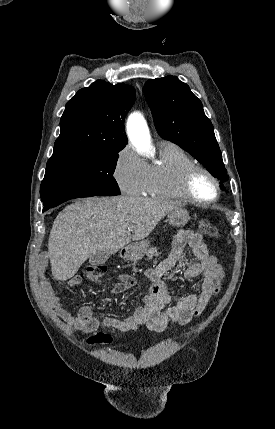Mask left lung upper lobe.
Returning a JSON list of instances; mask_svg holds the SVG:
<instances>
[{"label": "left lung upper lobe", "instance_id": "obj_1", "mask_svg": "<svg viewBox=\"0 0 275 429\" xmlns=\"http://www.w3.org/2000/svg\"><path fill=\"white\" fill-rule=\"evenodd\" d=\"M144 93L158 134L189 152L221 183L228 180L213 125L189 86L169 75L148 80Z\"/></svg>", "mask_w": 275, "mask_h": 429}]
</instances>
